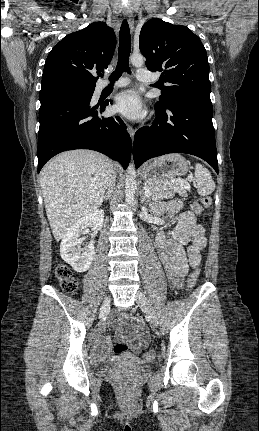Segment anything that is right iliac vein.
Masks as SVG:
<instances>
[{
	"label": "right iliac vein",
	"instance_id": "right-iliac-vein-1",
	"mask_svg": "<svg viewBox=\"0 0 259 431\" xmlns=\"http://www.w3.org/2000/svg\"><path fill=\"white\" fill-rule=\"evenodd\" d=\"M110 302H111L110 297H107L105 299L102 307H101L100 316H103L109 310V308H110Z\"/></svg>",
	"mask_w": 259,
	"mask_h": 431
}]
</instances>
